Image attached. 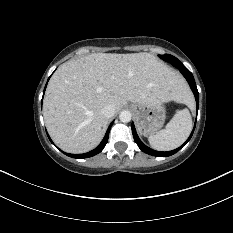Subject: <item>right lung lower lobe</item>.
<instances>
[{
	"instance_id": "obj_1",
	"label": "right lung lower lobe",
	"mask_w": 233,
	"mask_h": 233,
	"mask_svg": "<svg viewBox=\"0 0 233 233\" xmlns=\"http://www.w3.org/2000/svg\"><path fill=\"white\" fill-rule=\"evenodd\" d=\"M44 91H45V89H44ZM112 124H113V122L110 124V126H109L103 140L101 141V143L94 150H92V151H90L88 153H84V154H69V153H64V154H66L67 156L72 157V158H88V157H92V156L100 153L104 149V147H105V145H106V143L108 141L109 131H110V128H111ZM48 138L50 139L49 136H48ZM50 141H51V139H50Z\"/></svg>"
}]
</instances>
